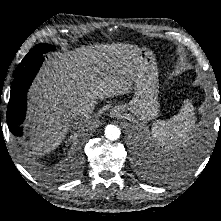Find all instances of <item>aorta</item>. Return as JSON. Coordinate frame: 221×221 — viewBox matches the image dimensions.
<instances>
[{"label": "aorta", "mask_w": 221, "mask_h": 221, "mask_svg": "<svg viewBox=\"0 0 221 221\" xmlns=\"http://www.w3.org/2000/svg\"><path fill=\"white\" fill-rule=\"evenodd\" d=\"M120 135H121V131L117 126L110 124L105 127V137L108 140H111V141L117 140L119 139Z\"/></svg>", "instance_id": "762f6f07"}]
</instances>
